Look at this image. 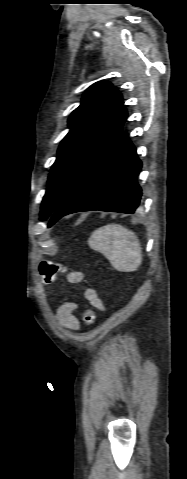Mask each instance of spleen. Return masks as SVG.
<instances>
[{
  "label": "spleen",
  "mask_w": 187,
  "mask_h": 479,
  "mask_svg": "<svg viewBox=\"0 0 187 479\" xmlns=\"http://www.w3.org/2000/svg\"><path fill=\"white\" fill-rule=\"evenodd\" d=\"M88 244L103 254L121 272L136 271L142 262L140 242L134 232L119 224H107L95 230Z\"/></svg>",
  "instance_id": "1"
}]
</instances>
